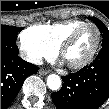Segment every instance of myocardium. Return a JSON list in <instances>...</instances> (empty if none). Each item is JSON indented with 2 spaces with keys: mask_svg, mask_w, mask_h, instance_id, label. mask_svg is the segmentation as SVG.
<instances>
[{
  "mask_svg": "<svg viewBox=\"0 0 109 109\" xmlns=\"http://www.w3.org/2000/svg\"><path fill=\"white\" fill-rule=\"evenodd\" d=\"M87 27L95 28V30L97 32L96 43H95L92 51L90 52V54L84 60H82L78 63H67L71 69L78 70V69H82V68L86 67L87 65H89L93 61V59L95 58V56L99 50L101 39H102V34H101L100 28L94 23H85V24L75 28L67 36V38L60 44V46H59L60 55L64 58L65 52L75 43L79 34Z\"/></svg>",
  "mask_w": 109,
  "mask_h": 109,
  "instance_id": "obj_1",
  "label": "myocardium"
}]
</instances>
